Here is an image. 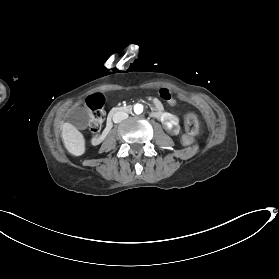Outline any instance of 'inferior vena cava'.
I'll return each mask as SVG.
<instances>
[{
	"mask_svg": "<svg viewBox=\"0 0 279 279\" xmlns=\"http://www.w3.org/2000/svg\"><path fill=\"white\" fill-rule=\"evenodd\" d=\"M128 118V114L126 112H116L114 115H113V121L114 123H120L122 120Z\"/></svg>",
	"mask_w": 279,
	"mask_h": 279,
	"instance_id": "obj_1",
	"label": "inferior vena cava"
}]
</instances>
